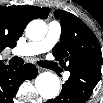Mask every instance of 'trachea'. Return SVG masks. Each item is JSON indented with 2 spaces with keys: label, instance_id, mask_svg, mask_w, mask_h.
Segmentation results:
<instances>
[{
  "label": "trachea",
  "instance_id": "obj_1",
  "mask_svg": "<svg viewBox=\"0 0 103 103\" xmlns=\"http://www.w3.org/2000/svg\"><path fill=\"white\" fill-rule=\"evenodd\" d=\"M24 63L23 59L20 58V57H13L12 59L9 60V64L12 65V66H20ZM40 66H47V62L46 61H38L37 62Z\"/></svg>",
  "mask_w": 103,
  "mask_h": 103
}]
</instances>
